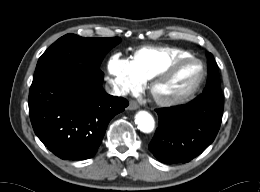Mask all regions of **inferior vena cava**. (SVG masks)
<instances>
[{
	"mask_svg": "<svg viewBox=\"0 0 260 192\" xmlns=\"http://www.w3.org/2000/svg\"><path fill=\"white\" fill-rule=\"evenodd\" d=\"M105 90L108 94L113 96H124L128 94V90L120 83H116L114 79L108 80L105 85Z\"/></svg>",
	"mask_w": 260,
	"mask_h": 192,
	"instance_id": "inferior-vena-cava-1",
	"label": "inferior vena cava"
}]
</instances>
